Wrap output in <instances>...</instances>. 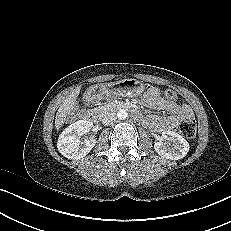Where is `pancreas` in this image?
I'll return each instance as SVG.
<instances>
[{
    "label": "pancreas",
    "instance_id": "pancreas-1",
    "mask_svg": "<svg viewBox=\"0 0 231 231\" xmlns=\"http://www.w3.org/2000/svg\"><path fill=\"white\" fill-rule=\"evenodd\" d=\"M111 107H112V105H104V106H101L100 109H101L102 111H104V110L110 109Z\"/></svg>",
    "mask_w": 231,
    "mask_h": 231
}]
</instances>
